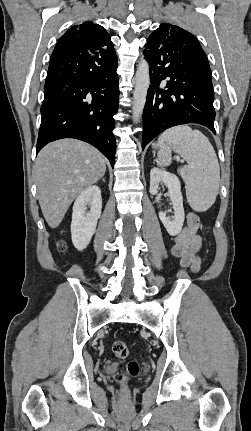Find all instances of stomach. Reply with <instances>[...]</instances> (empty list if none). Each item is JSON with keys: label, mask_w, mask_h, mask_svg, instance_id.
Listing matches in <instances>:
<instances>
[{"label": "stomach", "mask_w": 251, "mask_h": 431, "mask_svg": "<svg viewBox=\"0 0 251 431\" xmlns=\"http://www.w3.org/2000/svg\"><path fill=\"white\" fill-rule=\"evenodd\" d=\"M157 147H159V148H160V145H159V144H155V145H154V148H157Z\"/></svg>", "instance_id": "0dacf381"}]
</instances>
